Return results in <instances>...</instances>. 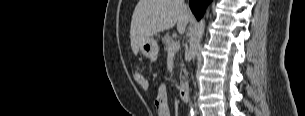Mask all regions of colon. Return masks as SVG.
Wrapping results in <instances>:
<instances>
[{
	"instance_id": "1",
	"label": "colon",
	"mask_w": 305,
	"mask_h": 116,
	"mask_svg": "<svg viewBox=\"0 0 305 116\" xmlns=\"http://www.w3.org/2000/svg\"><path fill=\"white\" fill-rule=\"evenodd\" d=\"M134 78L139 89L145 93H148L150 90L148 80L140 72H135Z\"/></svg>"
}]
</instances>
